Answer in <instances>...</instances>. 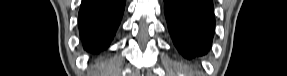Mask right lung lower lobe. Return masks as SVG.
Here are the masks:
<instances>
[{"label": "right lung lower lobe", "instance_id": "obj_1", "mask_svg": "<svg viewBox=\"0 0 287 76\" xmlns=\"http://www.w3.org/2000/svg\"><path fill=\"white\" fill-rule=\"evenodd\" d=\"M126 0H82L78 23L84 49L108 48L120 24Z\"/></svg>", "mask_w": 287, "mask_h": 76}]
</instances>
